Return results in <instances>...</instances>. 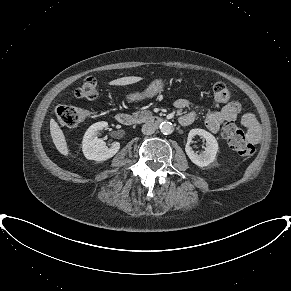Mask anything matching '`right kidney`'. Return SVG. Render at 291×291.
<instances>
[{"mask_svg": "<svg viewBox=\"0 0 291 291\" xmlns=\"http://www.w3.org/2000/svg\"><path fill=\"white\" fill-rule=\"evenodd\" d=\"M107 126V122H97L91 125L85 132L82 141V151L86 159L101 162L112 158L119 151L120 144L118 142L113 143L108 148L106 143L97 137L98 132L106 129Z\"/></svg>", "mask_w": 291, "mask_h": 291, "instance_id": "obj_1", "label": "right kidney"}]
</instances>
